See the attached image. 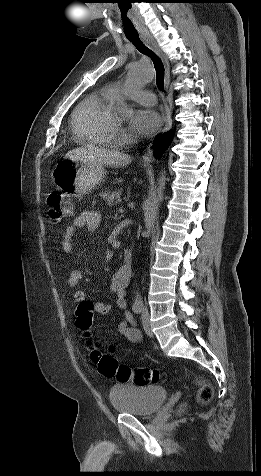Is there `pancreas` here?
<instances>
[{"label": "pancreas", "mask_w": 261, "mask_h": 476, "mask_svg": "<svg viewBox=\"0 0 261 476\" xmlns=\"http://www.w3.org/2000/svg\"><path fill=\"white\" fill-rule=\"evenodd\" d=\"M101 197L107 202V204L111 207L121 203V191H114L110 192H102L100 194Z\"/></svg>", "instance_id": "1"}]
</instances>
